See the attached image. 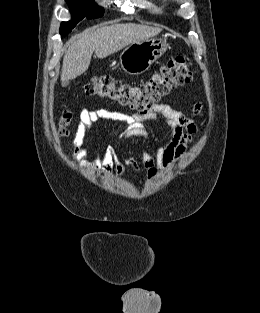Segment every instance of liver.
Instances as JSON below:
<instances>
[{"label":"liver","mask_w":260,"mask_h":313,"mask_svg":"<svg viewBox=\"0 0 260 313\" xmlns=\"http://www.w3.org/2000/svg\"><path fill=\"white\" fill-rule=\"evenodd\" d=\"M162 31L134 23H115L96 30H88L79 38L72 39L63 58L61 81H69L83 74L89 67L93 52L105 58L134 42L156 36Z\"/></svg>","instance_id":"1"}]
</instances>
